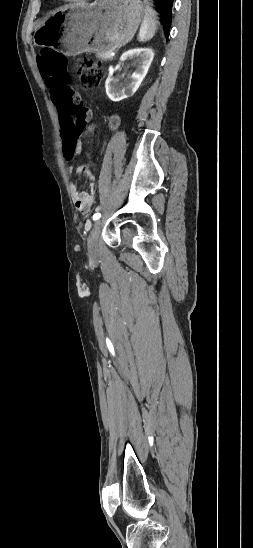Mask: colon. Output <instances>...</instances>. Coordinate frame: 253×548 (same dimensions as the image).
<instances>
[{
  "label": "colon",
  "instance_id": "5ec220e1",
  "mask_svg": "<svg viewBox=\"0 0 253 548\" xmlns=\"http://www.w3.org/2000/svg\"><path fill=\"white\" fill-rule=\"evenodd\" d=\"M38 63L43 74V82L48 84L53 103L58 110V124L61 128V137L64 139L66 158L71 159L75 139L82 137L87 127L88 112L82 107L80 96L75 92V80H70L68 60L58 52L44 48L40 51ZM76 67L82 90L96 87L104 76L102 66L87 57L79 58ZM117 124L118 119L113 117L110 126L115 128ZM79 171L87 176L91 175L88 165L81 166Z\"/></svg>",
  "mask_w": 253,
  "mask_h": 548
}]
</instances>
